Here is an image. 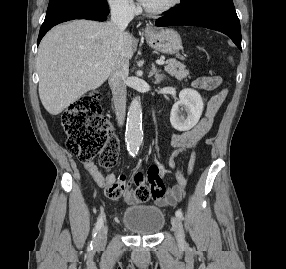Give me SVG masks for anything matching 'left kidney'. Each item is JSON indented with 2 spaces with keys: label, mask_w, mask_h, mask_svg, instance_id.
<instances>
[{
  "label": "left kidney",
  "mask_w": 286,
  "mask_h": 269,
  "mask_svg": "<svg viewBox=\"0 0 286 269\" xmlns=\"http://www.w3.org/2000/svg\"><path fill=\"white\" fill-rule=\"evenodd\" d=\"M204 104L200 94L193 89H184L179 93V101L174 104L170 113V122L178 131H187L193 128L199 121ZM185 110L184 117L181 110Z\"/></svg>",
  "instance_id": "left-kidney-1"
}]
</instances>
